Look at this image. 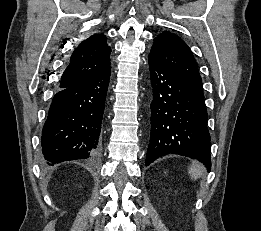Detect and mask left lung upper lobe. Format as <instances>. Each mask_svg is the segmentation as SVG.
Returning <instances> with one entry per match:
<instances>
[{
	"label": "left lung upper lobe",
	"mask_w": 261,
	"mask_h": 231,
	"mask_svg": "<svg viewBox=\"0 0 261 231\" xmlns=\"http://www.w3.org/2000/svg\"><path fill=\"white\" fill-rule=\"evenodd\" d=\"M149 57L155 59L191 88L203 93L197 63L190 48L180 37L169 31L159 34L154 39Z\"/></svg>",
	"instance_id": "5c2ea615"
}]
</instances>
